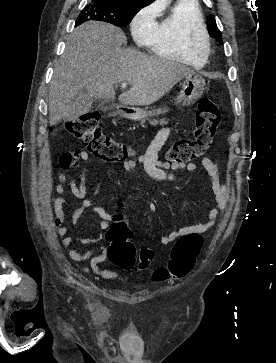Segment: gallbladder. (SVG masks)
<instances>
[{
    "mask_svg": "<svg viewBox=\"0 0 276 363\" xmlns=\"http://www.w3.org/2000/svg\"><path fill=\"white\" fill-rule=\"evenodd\" d=\"M98 102L97 99L91 98L85 91H81L75 96L71 106L70 114L65 118L67 121H72L86 114L91 107Z\"/></svg>",
    "mask_w": 276,
    "mask_h": 363,
    "instance_id": "bac80fb5",
    "label": "gallbladder"
}]
</instances>
